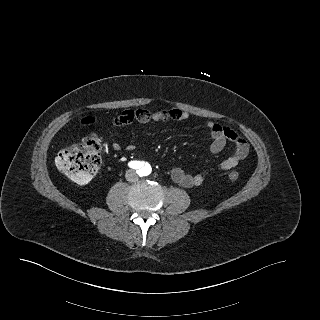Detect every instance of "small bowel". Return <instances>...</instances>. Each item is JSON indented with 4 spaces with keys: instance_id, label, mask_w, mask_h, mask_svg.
<instances>
[{
    "instance_id": "small-bowel-1",
    "label": "small bowel",
    "mask_w": 320,
    "mask_h": 320,
    "mask_svg": "<svg viewBox=\"0 0 320 320\" xmlns=\"http://www.w3.org/2000/svg\"><path fill=\"white\" fill-rule=\"evenodd\" d=\"M189 118L188 112L178 108H162L156 112H150L146 109H128L122 111L113 121V127L129 125L133 122L147 124L150 122L174 120L186 121ZM207 127L211 135L210 152L212 154L220 153L228 143L233 144V154L223 160L219 165V170L229 171L235 168L248 154V144L234 130L214 122H207ZM113 150H122L121 144L114 138H109ZM134 146H126L127 151H133ZM172 180L185 188H192L201 185L207 175L205 173H189L181 167H173L170 171Z\"/></svg>"
}]
</instances>
